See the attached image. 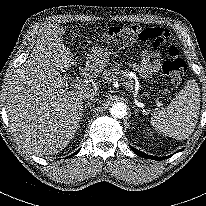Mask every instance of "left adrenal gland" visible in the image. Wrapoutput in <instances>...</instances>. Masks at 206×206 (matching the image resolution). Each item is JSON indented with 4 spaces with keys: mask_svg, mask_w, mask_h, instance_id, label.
<instances>
[{
    "mask_svg": "<svg viewBox=\"0 0 206 206\" xmlns=\"http://www.w3.org/2000/svg\"><path fill=\"white\" fill-rule=\"evenodd\" d=\"M138 112V109H135V114Z\"/></svg>",
    "mask_w": 206,
    "mask_h": 206,
    "instance_id": "obj_1",
    "label": "left adrenal gland"
}]
</instances>
